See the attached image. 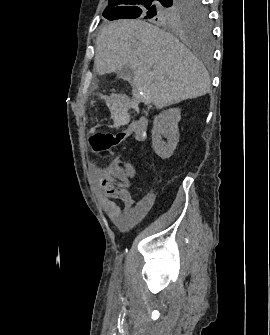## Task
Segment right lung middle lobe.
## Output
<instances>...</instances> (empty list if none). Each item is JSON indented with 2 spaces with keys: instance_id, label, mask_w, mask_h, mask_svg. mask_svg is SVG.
Masks as SVG:
<instances>
[{
  "instance_id": "obj_1",
  "label": "right lung middle lobe",
  "mask_w": 270,
  "mask_h": 335,
  "mask_svg": "<svg viewBox=\"0 0 270 335\" xmlns=\"http://www.w3.org/2000/svg\"><path fill=\"white\" fill-rule=\"evenodd\" d=\"M202 0H109L108 20L140 18L207 44L211 38L209 12Z\"/></svg>"
}]
</instances>
